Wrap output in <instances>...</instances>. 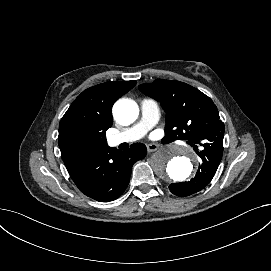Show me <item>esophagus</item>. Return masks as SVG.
<instances>
[{"mask_svg":"<svg viewBox=\"0 0 271 271\" xmlns=\"http://www.w3.org/2000/svg\"><path fill=\"white\" fill-rule=\"evenodd\" d=\"M146 147H147L148 152H155L159 148V146L156 143H149V144H147Z\"/></svg>","mask_w":271,"mask_h":271,"instance_id":"34e87169","label":"esophagus"}]
</instances>
